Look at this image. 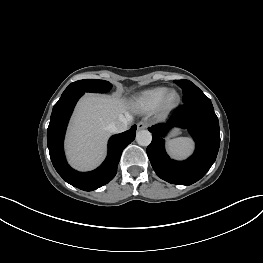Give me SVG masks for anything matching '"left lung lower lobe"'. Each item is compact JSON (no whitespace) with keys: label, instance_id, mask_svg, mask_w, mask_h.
Returning <instances> with one entry per match:
<instances>
[{"label":"left lung lower lobe","instance_id":"0a47b994","mask_svg":"<svg viewBox=\"0 0 263 263\" xmlns=\"http://www.w3.org/2000/svg\"><path fill=\"white\" fill-rule=\"evenodd\" d=\"M184 103L167 123L148 128L152 142L147 147V155L161 179L172 184L191 185L200 180L214 163L220 133L218 118L206 95ZM172 127L187 128L196 142L194 154L185 161L172 160L166 154L163 137Z\"/></svg>","mask_w":263,"mask_h":263}]
</instances>
